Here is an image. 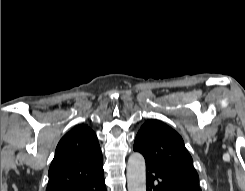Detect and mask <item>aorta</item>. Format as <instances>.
Segmentation results:
<instances>
[{
  "instance_id": "aorta-1",
  "label": "aorta",
  "mask_w": 245,
  "mask_h": 191,
  "mask_svg": "<svg viewBox=\"0 0 245 191\" xmlns=\"http://www.w3.org/2000/svg\"><path fill=\"white\" fill-rule=\"evenodd\" d=\"M128 191H146L145 159L140 153H132L127 163Z\"/></svg>"
}]
</instances>
